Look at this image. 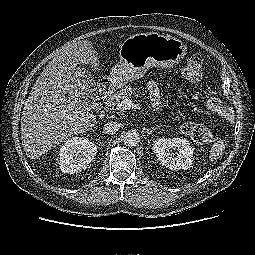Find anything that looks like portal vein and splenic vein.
Listing matches in <instances>:
<instances>
[{
  "label": "portal vein and splenic vein",
  "mask_w": 255,
  "mask_h": 255,
  "mask_svg": "<svg viewBox=\"0 0 255 255\" xmlns=\"http://www.w3.org/2000/svg\"><path fill=\"white\" fill-rule=\"evenodd\" d=\"M134 107H136V105H134L132 103L131 99L126 98V99H123V100L118 102V104L116 105V110L124 111V110L131 109V108H134Z\"/></svg>",
  "instance_id": "obj_1"
}]
</instances>
